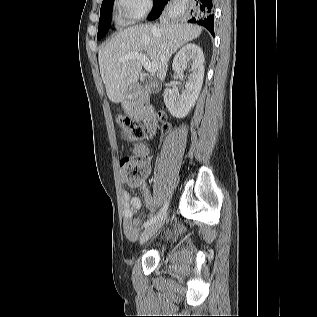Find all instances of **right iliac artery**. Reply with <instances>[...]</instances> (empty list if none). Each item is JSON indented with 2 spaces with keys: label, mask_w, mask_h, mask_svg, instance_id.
<instances>
[{
  "label": "right iliac artery",
  "mask_w": 317,
  "mask_h": 317,
  "mask_svg": "<svg viewBox=\"0 0 317 317\" xmlns=\"http://www.w3.org/2000/svg\"><path fill=\"white\" fill-rule=\"evenodd\" d=\"M168 208V202H166L163 207L161 208V210L159 211V213L152 217L151 219L147 220L144 224L143 227L147 228L148 226H150L151 224L156 223L158 220H160L161 218H163V216L166 214Z\"/></svg>",
  "instance_id": "obj_1"
}]
</instances>
